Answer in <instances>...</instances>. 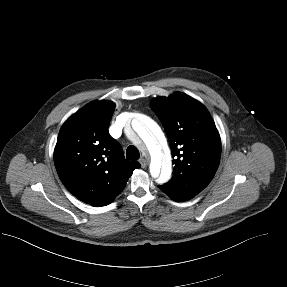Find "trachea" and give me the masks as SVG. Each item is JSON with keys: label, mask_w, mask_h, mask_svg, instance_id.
Masks as SVG:
<instances>
[{"label": "trachea", "mask_w": 287, "mask_h": 287, "mask_svg": "<svg viewBox=\"0 0 287 287\" xmlns=\"http://www.w3.org/2000/svg\"><path fill=\"white\" fill-rule=\"evenodd\" d=\"M140 157V153L139 150L135 147V146H128L127 150H126V158L129 160H138Z\"/></svg>", "instance_id": "obj_1"}]
</instances>
